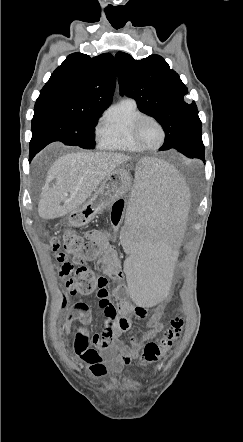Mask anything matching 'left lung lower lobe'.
Listing matches in <instances>:
<instances>
[{
    "label": "left lung lower lobe",
    "mask_w": 243,
    "mask_h": 442,
    "mask_svg": "<svg viewBox=\"0 0 243 442\" xmlns=\"http://www.w3.org/2000/svg\"><path fill=\"white\" fill-rule=\"evenodd\" d=\"M178 151L189 158H200L204 161L205 149L201 138L179 148Z\"/></svg>",
    "instance_id": "obj_1"
}]
</instances>
